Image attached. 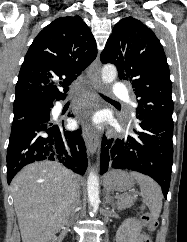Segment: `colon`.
Listing matches in <instances>:
<instances>
[{"label": "colon", "instance_id": "5ec220e1", "mask_svg": "<svg viewBox=\"0 0 187 242\" xmlns=\"http://www.w3.org/2000/svg\"><path fill=\"white\" fill-rule=\"evenodd\" d=\"M141 221L147 228L148 232L155 230L158 224L157 219L147 212L141 215ZM140 242H151V240L148 236H143L141 237Z\"/></svg>", "mask_w": 187, "mask_h": 242}]
</instances>
